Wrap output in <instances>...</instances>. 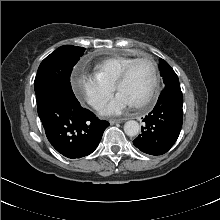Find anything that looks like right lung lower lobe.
<instances>
[{"label": "right lung lower lobe", "instance_id": "right-lung-lower-lobe-1", "mask_svg": "<svg viewBox=\"0 0 220 220\" xmlns=\"http://www.w3.org/2000/svg\"><path fill=\"white\" fill-rule=\"evenodd\" d=\"M37 107L49 142L67 158L91 154L109 126L107 121L82 108L76 97L61 91L51 94Z\"/></svg>", "mask_w": 220, "mask_h": 220}]
</instances>
